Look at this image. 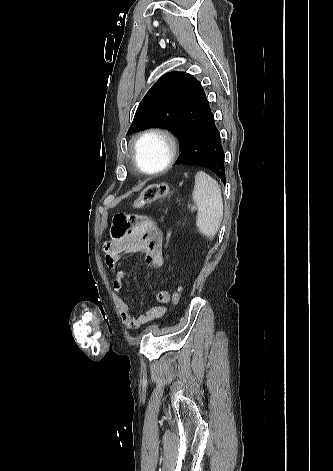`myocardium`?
<instances>
[{"label": "myocardium", "mask_w": 333, "mask_h": 471, "mask_svg": "<svg viewBox=\"0 0 333 471\" xmlns=\"http://www.w3.org/2000/svg\"><path fill=\"white\" fill-rule=\"evenodd\" d=\"M152 136L159 137L165 142L167 146V156H166L165 161L160 167L153 170H147L144 167H142L141 164L139 163V160L137 157V150L141 141ZM176 153H177V142H176L175 137L166 129L159 128V127L148 128L140 132L134 138L132 142V146H131V158H132L133 165L138 171L147 175H155V174H159L165 171L173 162L176 156Z\"/></svg>", "instance_id": "1"}]
</instances>
